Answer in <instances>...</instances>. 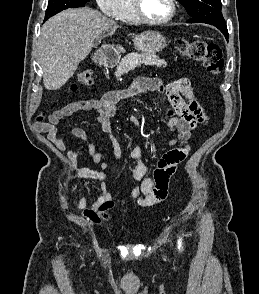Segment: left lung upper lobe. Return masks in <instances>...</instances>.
<instances>
[{
    "label": "left lung upper lobe",
    "mask_w": 259,
    "mask_h": 294,
    "mask_svg": "<svg viewBox=\"0 0 259 294\" xmlns=\"http://www.w3.org/2000/svg\"><path fill=\"white\" fill-rule=\"evenodd\" d=\"M193 18L188 22H202L211 25L225 24L221 12V0H178Z\"/></svg>",
    "instance_id": "left-lung-upper-lobe-1"
}]
</instances>
